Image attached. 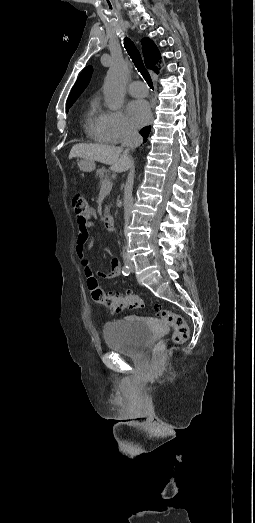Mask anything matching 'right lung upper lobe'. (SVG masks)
Wrapping results in <instances>:
<instances>
[{"instance_id":"cb5924a9","label":"right lung upper lobe","mask_w":255,"mask_h":523,"mask_svg":"<svg viewBox=\"0 0 255 523\" xmlns=\"http://www.w3.org/2000/svg\"><path fill=\"white\" fill-rule=\"evenodd\" d=\"M142 44V53L144 57V61L146 64V67L148 69L154 70L156 73L157 68L155 66L158 59H160V53L157 47L155 46L154 42L150 40L149 38H143L141 40ZM92 67L88 66L86 67L79 78L77 79L70 95L68 98V102L74 101L79 97V95L83 92L85 87L88 85L91 74H92ZM151 131V126H147L141 129L140 134L143 136L144 141H146V138L148 137L149 133Z\"/></svg>"}]
</instances>
